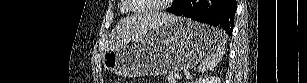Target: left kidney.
Here are the masks:
<instances>
[{"label":"left kidney","instance_id":"5707ae66","mask_svg":"<svg viewBox=\"0 0 307 83\" xmlns=\"http://www.w3.org/2000/svg\"><path fill=\"white\" fill-rule=\"evenodd\" d=\"M191 83H221V81L220 78L217 76H209V77L196 79Z\"/></svg>","mask_w":307,"mask_h":83}]
</instances>
